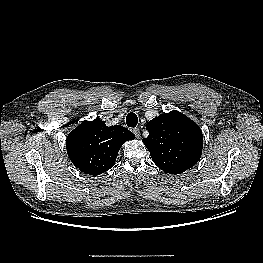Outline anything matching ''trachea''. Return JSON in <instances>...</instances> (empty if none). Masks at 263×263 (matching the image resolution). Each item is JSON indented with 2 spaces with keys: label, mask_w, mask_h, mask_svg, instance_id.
<instances>
[{
  "label": "trachea",
  "mask_w": 263,
  "mask_h": 263,
  "mask_svg": "<svg viewBox=\"0 0 263 263\" xmlns=\"http://www.w3.org/2000/svg\"><path fill=\"white\" fill-rule=\"evenodd\" d=\"M138 123L137 115L133 112L129 113L126 117V124L128 127H136Z\"/></svg>",
  "instance_id": "trachea-1"
}]
</instances>
